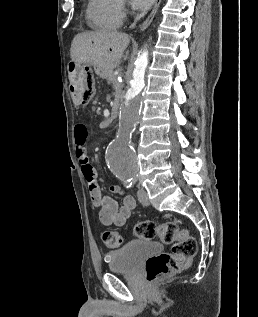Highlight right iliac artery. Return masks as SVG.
Returning a JSON list of instances; mask_svg holds the SVG:
<instances>
[{"mask_svg":"<svg viewBox=\"0 0 258 317\" xmlns=\"http://www.w3.org/2000/svg\"><path fill=\"white\" fill-rule=\"evenodd\" d=\"M121 180L123 181V183H124V186L126 187V188H130L131 187V182H130V179H128V178H121Z\"/></svg>","mask_w":258,"mask_h":317,"instance_id":"right-iliac-artery-1","label":"right iliac artery"}]
</instances>
